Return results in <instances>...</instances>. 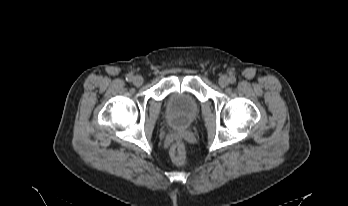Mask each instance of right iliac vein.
<instances>
[{
	"instance_id": "1",
	"label": "right iliac vein",
	"mask_w": 348,
	"mask_h": 206,
	"mask_svg": "<svg viewBox=\"0 0 348 206\" xmlns=\"http://www.w3.org/2000/svg\"><path fill=\"white\" fill-rule=\"evenodd\" d=\"M133 84L137 87L141 86L143 84V78L140 75H136L133 78Z\"/></svg>"
}]
</instances>
